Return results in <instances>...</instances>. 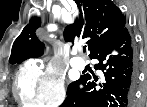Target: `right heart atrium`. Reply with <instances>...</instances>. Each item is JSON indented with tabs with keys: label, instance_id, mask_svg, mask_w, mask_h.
I'll return each instance as SVG.
<instances>
[{
	"label": "right heart atrium",
	"instance_id": "obj_1",
	"mask_svg": "<svg viewBox=\"0 0 147 107\" xmlns=\"http://www.w3.org/2000/svg\"><path fill=\"white\" fill-rule=\"evenodd\" d=\"M16 94L25 106H58L66 97L63 75L52 65L29 62L18 72Z\"/></svg>",
	"mask_w": 147,
	"mask_h": 107
}]
</instances>
